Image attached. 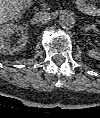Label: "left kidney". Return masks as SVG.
I'll use <instances>...</instances> for the list:
<instances>
[{
  "label": "left kidney",
  "mask_w": 100,
  "mask_h": 118,
  "mask_svg": "<svg viewBox=\"0 0 100 118\" xmlns=\"http://www.w3.org/2000/svg\"><path fill=\"white\" fill-rule=\"evenodd\" d=\"M88 54H89V56L91 57V58H94V59H96V60H99L100 59V52L99 51H97V50H89L88 51Z\"/></svg>",
  "instance_id": "obj_1"
}]
</instances>
